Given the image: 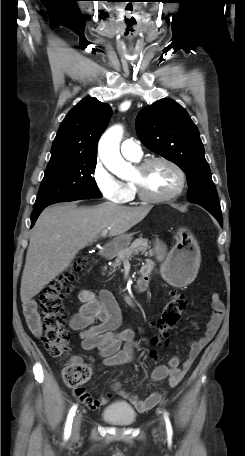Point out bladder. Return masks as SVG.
Wrapping results in <instances>:
<instances>
[{"instance_id":"1","label":"bladder","mask_w":245,"mask_h":456,"mask_svg":"<svg viewBox=\"0 0 245 456\" xmlns=\"http://www.w3.org/2000/svg\"><path fill=\"white\" fill-rule=\"evenodd\" d=\"M105 421L115 425H131L136 420V412L126 402H114L102 412Z\"/></svg>"}]
</instances>
